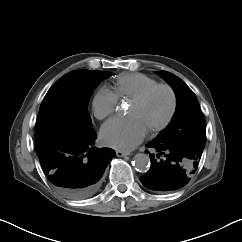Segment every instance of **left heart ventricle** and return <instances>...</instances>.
<instances>
[{"label": "left heart ventricle", "mask_w": 242, "mask_h": 242, "mask_svg": "<svg viewBox=\"0 0 242 242\" xmlns=\"http://www.w3.org/2000/svg\"><path fill=\"white\" fill-rule=\"evenodd\" d=\"M172 99L165 89L155 91L145 102H130L127 113L137 118L140 124L149 131L162 123L171 110Z\"/></svg>", "instance_id": "left-heart-ventricle-1"}]
</instances>
